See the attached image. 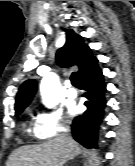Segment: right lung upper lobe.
I'll return each instance as SVG.
<instances>
[{
  "instance_id": "right-lung-upper-lobe-1",
  "label": "right lung upper lobe",
  "mask_w": 135,
  "mask_h": 166,
  "mask_svg": "<svg viewBox=\"0 0 135 166\" xmlns=\"http://www.w3.org/2000/svg\"><path fill=\"white\" fill-rule=\"evenodd\" d=\"M65 45L57 51L56 60L59 66L69 67L76 65L79 68V75L83 70L92 65L97 59L92 56L91 49L83 41L80 35H77L71 29H65ZM37 90V82L34 79L26 80L18 90L15 110L28 106Z\"/></svg>"
}]
</instances>
